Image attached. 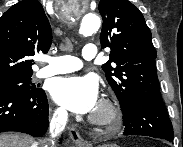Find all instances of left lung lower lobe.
Masks as SVG:
<instances>
[{"instance_id":"0a47b994","label":"left lung lower lobe","mask_w":183,"mask_h":147,"mask_svg":"<svg viewBox=\"0 0 183 147\" xmlns=\"http://www.w3.org/2000/svg\"><path fill=\"white\" fill-rule=\"evenodd\" d=\"M122 112L125 135L173 140V127L162 100L136 99L123 108Z\"/></svg>"}]
</instances>
